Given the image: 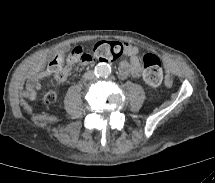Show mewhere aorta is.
I'll return each mask as SVG.
<instances>
[{
    "mask_svg": "<svg viewBox=\"0 0 215 183\" xmlns=\"http://www.w3.org/2000/svg\"><path fill=\"white\" fill-rule=\"evenodd\" d=\"M95 74L99 77H107L111 74V67L106 63H99L95 67Z\"/></svg>",
    "mask_w": 215,
    "mask_h": 183,
    "instance_id": "1",
    "label": "aorta"
}]
</instances>
